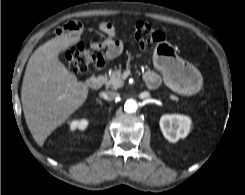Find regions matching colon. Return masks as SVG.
<instances>
[{
    "label": "colon",
    "mask_w": 245,
    "mask_h": 195,
    "mask_svg": "<svg viewBox=\"0 0 245 195\" xmlns=\"http://www.w3.org/2000/svg\"><path fill=\"white\" fill-rule=\"evenodd\" d=\"M162 32L155 30L145 22H138L135 26V39L140 46L155 45L163 40ZM106 59L103 48H87L80 45L65 54L68 69L74 74L86 73L92 65L102 66Z\"/></svg>",
    "instance_id": "colon-1"
}]
</instances>
